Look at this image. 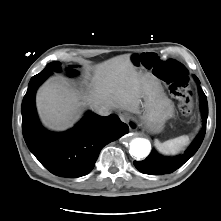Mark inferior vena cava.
<instances>
[{
    "label": "inferior vena cava",
    "instance_id": "inferior-vena-cava-1",
    "mask_svg": "<svg viewBox=\"0 0 221 221\" xmlns=\"http://www.w3.org/2000/svg\"><path fill=\"white\" fill-rule=\"evenodd\" d=\"M95 111L101 116H107L110 113V109L105 106L98 107Z\"/></svg>",
    "mask_w": 221,
    "mask_h": 221
}]
</instances>
